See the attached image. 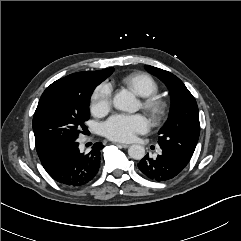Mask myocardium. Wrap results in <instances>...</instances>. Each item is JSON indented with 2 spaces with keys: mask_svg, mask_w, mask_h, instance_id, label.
Segmentation results:
<instances>
[{
  "mask_svg": "<svg viewBox=\"0 0 241 241\" xmlns=\"http://www.w3.org/2000/svg\"><path fill=\"white\" fill-rule=\"evenodd\" d=\"M141 107L150 115V117L155 122L164 120L168 112L167 101L157 94L143 97L141 101Z\"/></svg>",
  "mask_w": 241,
  "mask_h": 241,
  "instance_id": "1",
  "label": "myocardium"
}]
</instances>
